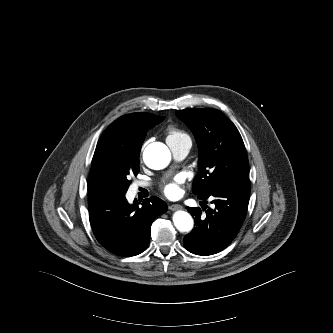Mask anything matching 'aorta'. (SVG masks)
Here are the masks:
<instances>
[{"mask_svg": "<svg viewBox=\"0 0 333 333\" xmlns=\"http://www.w3.org/2000/svg\"><path fill=\"white\" fill-rule=\"evenodd\" d=\"M145 164L154 170L164 169L171 160V153L163 143L149 144L143 152ZM173 223L180 232H189L193 229L192 216L185 211H176L173 214Z\"/></svg>", "mask_w": 333, "mask_h": 333, "instance_id": "762f6f07", "label": "aorta"}]
</instances>
